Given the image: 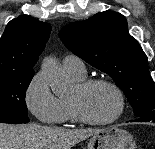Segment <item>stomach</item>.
I'll return each mask as SVG.
<instances>
[{"label":"stomach","mask_w":155,"mask_h":149,"mask_svg":"<svg viewBox=\"0 0 155 149\" xmlns=\"http://www.w3.org/2000/svg\"><path fill=\"white\" fill-rule=\"evenodd\" d=\"M87 149H137L133 136L119 127H109L94 134Z\"/></svg>","instance_id":"1"}]
</instances>
